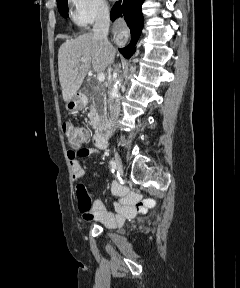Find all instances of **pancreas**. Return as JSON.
I'll return each instance as SVG.
<instances>
[{
  "label": "pancreas",
  "instance_id": "1",
  "mask_svg": "<svg viewBox=\"0 0 240 288\" xmlns=\"http://www.w3.org/2000/svg\"><path fill=\"white\" fill-rule=\"evenodd\" d=\"M96 89L100 92L103 91L104 90V84H102L101 82H97L96 83ZM96 116H97V109H96V104H95L94 99H93L92 104L89 108V117L91 119H93Z\"/></svg>",
  "mask_w": 240,
  "mask_h": 288
}]
</instances>
